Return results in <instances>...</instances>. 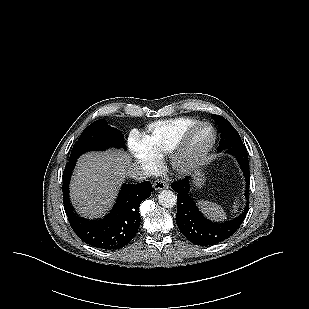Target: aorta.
<instances>
[{
	"label": "aorta",
	"mask_w": 309,
	"mask_h": 309,
	"mask_svg": "<svg viewBox=\"0 0 309 309\" xmlns=\"http://www.w3.org/2000/svg\"><path fill=\"white\" fill-rule=\"evenodd\" d=\"M159 204L165 208H172L177 203V196L170 190H163L158 195Z\"/></svg>",
	"instance_id": "aorta-1"
}]
</instances>
